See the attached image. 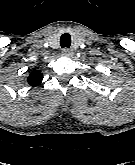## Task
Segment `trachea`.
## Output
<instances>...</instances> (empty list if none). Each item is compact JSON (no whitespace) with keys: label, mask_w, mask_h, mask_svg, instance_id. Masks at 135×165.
Here are the masks:
<instances>
[{"label":"trachea","mask_w":135,"mask_h":165,"mask_svg":"<svg viewBox=\"0 0 135 165\" xmlns=\"http://www.w3.org/2000/svg\"><path fill=\"white\" fill-rule=\"evenodd\" d=\"M60 45L62 48H69L71 45V36L68 33L62 34L60 37Z\"/></svg>","instance_id":"trachea-1"}]
</instances>
